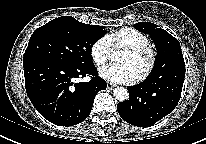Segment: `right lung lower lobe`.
<instances>
[{
	"instance_id": "obj_1",
	"label": "right lung lower lobe",
	"mask_w": 206,
	"mask_h": 144,
	"mask_svg": "<svg viewBox=\"0 0 206 144\" xmlns=\"http://www.w3.org/2000/svg\"><path fill=\"white\" fill-rule=\"evenodd\" d=\"M27 95L36 110L59 126H72L85 120L95 95L106 89L94 63L72 66L55 60L32 57L23 60ZM91 75L89 82L74 83L75 78Z\"/></svg>"
}]
</instances>
